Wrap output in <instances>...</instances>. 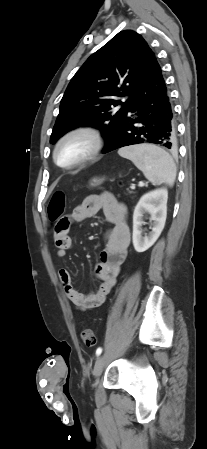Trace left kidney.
I'll use <instances>...</instances> for the list:
<instances>
[{"mask_svg":"<svg viewBox=\"0 0 207 449\" xmlns=\"http://www.w3.org/2000/svg\"><path fill=\"white\" fill-rule=\"evenodd\" d=\"M166 189H156L144 194L137 203L133 213V246L139 253L148 250L159 238L165 226L167 217ZM147 213L151 216V232L142 236L141 227L144 224L143 217Z\"/></svg>","mask_w":207,"mask_h":449,"instance_id":"left-kidney-1","label":"left kidney"}]
</instances>
